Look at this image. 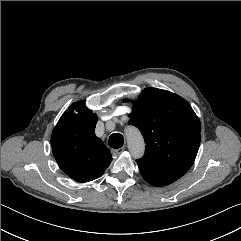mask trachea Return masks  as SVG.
Instances as JSON below:
<instances>
[{"label":"trachea","mask_w":241,"mask_h":241,"mask_svg":"<svg viewBox=\"0 0 241 241\" xmlns=\"http://www.w3.org/2000/svg\"><path fill=\"white\" fill-rule=\"evenodd\" d=\"M124 138L122 134L114 133L109 137V145L112 148L118 149L123 146Z\"/></svg>","instance_id":"1"}]
</instances>
